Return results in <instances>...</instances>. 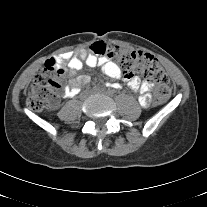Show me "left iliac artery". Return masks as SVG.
I'll return each mask as SVG.
<instances>
[{
    "instance_id": "44dca946",
    "label": "left iliac artery",
    "mask_w": 207,
    "mask_h": 207,
    "mask_svg": "<svg viewBox=\"0 0 207 207\" xmlns=\"http://www.w3.org/2000/svg\"><path fill=\"white\" fill-rule=\"evenodd\" d=\"M114 88H116V89H120V88H122V86L120 85V84H118V83H114L113 85H112ZM109 93L111 92V91H108Z\"/></svg>"
}]
</instances>
